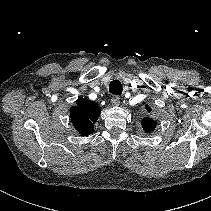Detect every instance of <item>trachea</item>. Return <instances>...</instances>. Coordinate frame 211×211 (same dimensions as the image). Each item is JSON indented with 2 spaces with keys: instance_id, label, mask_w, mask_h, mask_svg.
<instances>
[{
  "instance_id": "trachea-1",
  "label": "trachea",
  "mask_w": 211,
  "mask_h": 211,
  "mask_svg": "<svg viewBox=\"0 0 211 211\" xmlns=\"http://www.w3.org/2000/svg\"><path fill=\"white\" fill-rule=\"evenodd\" d=\"M109 91L114 95H120L122 93V83L119 80H113L109 84Z\"/></svg>"
}]
</instances>
